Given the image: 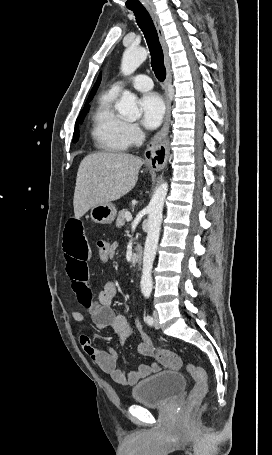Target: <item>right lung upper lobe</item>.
<instances>
[{"label": "right lung upper lobe", "instance_id": "cb5924a9", "mask_svg": "<svg viewBox=\"0 0 272 455\" xmlns=\"http://www.w3.org/2000/svg\"><path fill=\"white\" fill-rule=\"evenodd\" d=\"M100 81H101V74L99 75L94 87L92 88V90H91V92L89 94L88 100H92L93 96L95 95V93H96V91H97V89L99 87Z\"/></svg>", "mask_w": 272, "mask_h": 455}]
</instances>
